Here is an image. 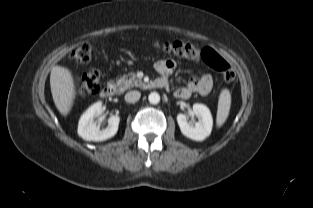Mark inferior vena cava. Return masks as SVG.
<instances>
[{"mask_svg":"<svg viewBox=\"0 0 313 208\" xmlns=\"http://www.w3.org/2000/svg\"><path fill=\"white\" fill-rule=\"evenodd\" d=\"M140 92L139 91H130L125 95V101L129 103H135L140 99Z\"/></svg>","mask_w":313,"mask_h":208,"instance_id":"602c4592","label":"inferior vena cava"}]
</instances>
